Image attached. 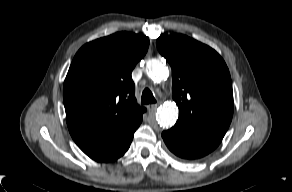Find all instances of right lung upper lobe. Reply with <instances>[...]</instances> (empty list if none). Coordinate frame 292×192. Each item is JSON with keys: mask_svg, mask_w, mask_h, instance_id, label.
Wrapping results in <instances>:
<instances>
[{"mask_svg": "<svg viewBox=\"0 0 292 192\" xmlns=\"http://www.w3.org/2000/svg\"><path fill=\"white\" fill-rule=\"evenodd\" d=\"M148 46L146 36L118 32L80 48L63 87L72 138L113 133L142 118L131 72Z\"/></svg>", "mask_w": 292, "mask_h": 192, "instance_id": "cb5924a9", "label": "right lung upper lobe"}]
</instances>
